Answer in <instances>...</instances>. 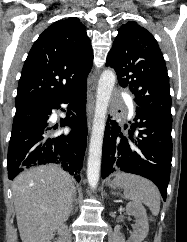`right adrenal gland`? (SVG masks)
<instances>
[{
  "instance_id": "1",
  "label": "right adrenal gland",
  "mask_w": 187,
  "mask_h": 242,
  "mask_svg": "<svg viewBox=\"0 0 187 242\" xmlns=\"http://www.w3.org/2000/svg\"><path fill=\"white\" fill-rule=\"evenodd\" d=\"M75 202H76V191H75L74 196H73V203H72V208H71V213H70L71 215H73Z\"/></svg>"
}]
</instances>
